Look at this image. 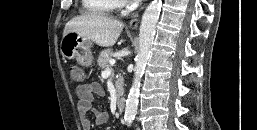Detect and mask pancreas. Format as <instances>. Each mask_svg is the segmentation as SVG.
Wrapping results in <instances>:
<instances>
[{"instance_id":"cf45deb5","label":"pancreas","mask_w":257,"mask_h":130,"mask_svg":"<svg viewBox=\"0 0 257 130\" xmlns=\"http://www.w3.org/2000/svg\"><path fill=\"white\" fill-rule=\"evenodd\" d=\"M112 54H113V52L111 49L103 50L100 53L98 60H97L98 66L102 69L109 68V61L112 59ZM116 79L117 80L115 82V86H116V91L119 94L120 92H122L124 80L120 73L117 74Z\"/></svg>"}]
</instances>
